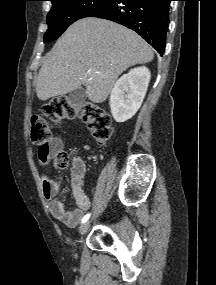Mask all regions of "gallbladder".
I'll list each match as a JSON object with an SVG mask.
<instances>
[{"instance_id": "1", "label": "gallbladder", "mask_w": 216, "mask_h": 285, "mask_svg": "<svg viewBox=\"0 0 216 285\" xmlns=\"http://www.w3.org/2000/svg\"><path fill=\"white\" fill-rule=\"evenodd\" d=\"M85 98V90L84 88L80 87L69 94L68 103L72 107H79L84 104Z\"/></svg>"}]
</instances>
